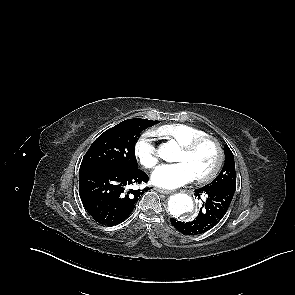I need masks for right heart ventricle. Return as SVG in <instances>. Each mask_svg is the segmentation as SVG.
Instances as JSON below:
<instances>
[{
    "label": "right heart ventricle",
    "instance_id": "e07e8e85",
    "mask_svg": "<svg viewBox=\"0 0 295 295\" xmlns=\"http://www.w3.org/2000/svg\"><path fill=\"white\" fill-rule=\"evenodd\" d=\"M155 133L167 140L184 146L199 137L206 136L207 133L199 128L187 124H167L159 127Z\"/></svg>",
    "mask_w": 295,
    "mask_h": 295
}]
</instances>
